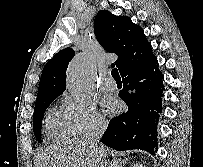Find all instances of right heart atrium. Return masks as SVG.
<instances>
[{
    "label": "right heart atrium",
    "instance_id": "1",
    "mask_svg": "<svg viewBox=\"0 0 203 167\" xmlns=\"http://www.w3.org/2000/svg\"><path fill=\"white\" fill-rule=\"evenodd\" d=\"M62 112L75 136L102 130L107 125V121L98 112L96 104L92 100H80L65 96L62 102Z\"/></svg>",
    "mask_w": 203,
    "mask_h": 167
}]
</instances>
